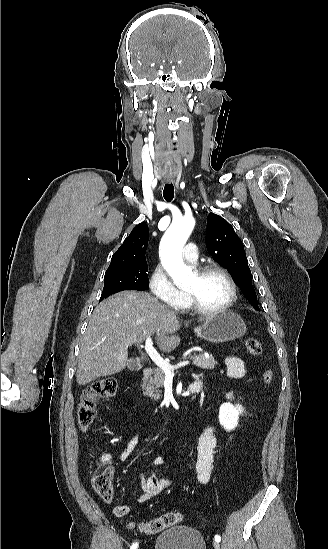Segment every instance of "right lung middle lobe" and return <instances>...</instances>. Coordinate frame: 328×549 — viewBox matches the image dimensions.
<instances>
[{
  "label": "right lung middle lobe",
  "mask_w": 328,
  "mask_h": 549,
  "mask_svg": "<svg viewBox=\"0 0 328 549\" xmlns=\"http://www.w3.org/2000/svg\"><path fill=\"white\" fill-rule=\"evenodd\" d=\"M146 261H138L123 267L107 270L100 301L122 290H145L149 287Z\"/></svg>",
  "instance_id": "obj_1"
}]
</instances>
